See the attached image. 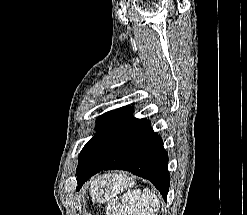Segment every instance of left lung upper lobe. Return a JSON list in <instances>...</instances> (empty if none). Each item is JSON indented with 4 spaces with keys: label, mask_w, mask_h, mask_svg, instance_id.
Masks as SVG:
<instances>
[{
    "label": "left lung upper lobe",
    "mask_w": 247,
    "mask_h": 215,
    "mask_svg": "<svg viewBox=\"0 0 247 215\" xmlns=\"http://www.w3.org/2000/svg\"><path fill=\"white\" fill-rule=\"evenodd\" d=\"M129 108L130 106L122 107L99 116L96 125L97 133L91 139V141L96 139L104 131L110 128L111 125H113Z\"/></svg>",
    "instance_id": "5c2ea615"
}]
</instances>
